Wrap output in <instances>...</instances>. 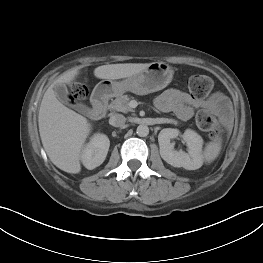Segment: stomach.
Instances as JSON below:
<instances>
[{"label": "stomach", "mask_w": 263, "mask_h": 263, "mask_svg": "<svg viewBox=\"0 0 263 263\" xmlns=\"http://www.w3.org/2000/svg\"><path fill=\"white\" fill-rule=\"evenodd\" d=\"M172 78L173 71L168 64L152 62L144 70L122 80H102L95 86L93 95L103 98L119 96L125 92L146 95L165 88Z\"/></svg>", "instance_id": "0dacf381"}]
</instances>
